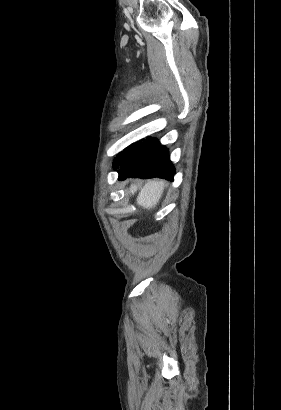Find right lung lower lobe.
I'll return each mask as SVG.
<instances>
[{"instance_id": "1", "label": "right lung lower lobe", "mask_w": 281, "mask_h": 410, "mask_svg": "<svg viewBox=\"0 0 281 410\" xmlns=\"http://www.w3.org/2000/svg\"><path fill=\"white\" fill-rule=\"evenodd\" d=\"M117 172L121 180L126 177H159L173 181L175 169L168 149L156 138H147L133 148Z\"/></svg>"}]
</instances>
